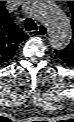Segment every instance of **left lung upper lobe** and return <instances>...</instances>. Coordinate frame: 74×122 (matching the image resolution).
Listing matches in <instances>:
<instances>
[{
    "label": "left lung upper lobe",
    "instance_id": "obj_1",
    "mask_svg": "<svg viewBox=\"0 0 74 122\" xmlns=\"http://www.w3.org/2000/svg\"><path fill=\"white\" fill-rule=\"evenodd\" d=\"M69 4L72 13L73 36L70 41V44L66 48L62 50H55V53L64 63L69 66H74V1H69Z\"/></svg>",
    "mask_w": 74,
    "mask_h": 122
}]
</instances>
